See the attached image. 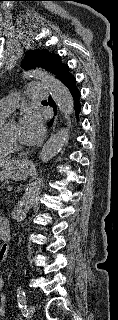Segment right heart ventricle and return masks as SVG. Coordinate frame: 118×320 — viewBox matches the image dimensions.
Listing matches in <instances>:
<instances>
[{"instance_id":"1","label":"right heart ventricle","mask_w":118,"mask_h":320,"mask_svg":"<svg viewBox=\"0 0 118 320\" xmlns=\"http://www.w3.org/2000/svg\"><path fill=\"white\" fill-rule=\"evenodd\" d=\"M6 116L0 112V127L3 125ZM12 153V150L8 148L0 139V157L8 156Z\"/></svg>"}]
</instances>
